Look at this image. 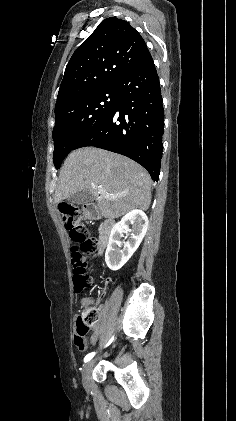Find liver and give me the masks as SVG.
Segmentation results:
<instances>
[{
	"label": "liver",
	"mask_w": 236,
	"mask_h": 421,
	"mask_svg": "<svg viewBox=\"0 0 236 421\" xmlns=\"http://www.w3.org/2000/svg\"><path fill=\"white\" fill-rule=\"evenodd\" d=\"M91 184L104 190L91 188ZM151 176L147 170L128 156L83 146L68 154L57 178L54 202L68 198L77 190H90L101 217L118 219L133 208L147 211L151 202ZM107 194H125L108 200Z\"/></svg>",
	"instance_id": "liver-1"
}]
</instances>
